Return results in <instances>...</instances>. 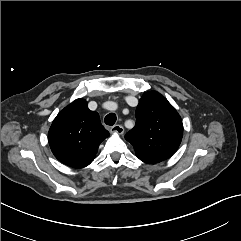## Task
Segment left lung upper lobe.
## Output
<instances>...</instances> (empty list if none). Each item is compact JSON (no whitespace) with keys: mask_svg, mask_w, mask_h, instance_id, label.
<instances>
[{"mask_svg":"<svg viewBox=\"0 0 241 241\" xmlns=\"http://www.w3.org/2000/svg\"><path fill=\"white\" fill-rule=\"evenodd\" d=\"M183 124L178 112L156 91L146 92L136 108V124L125 138L141 161L156 164L178 149Z\"/></svg>","mask_w":241,"mask_h":241,"instance_id":"left-lung-upper-lobe-1","label":"left lung upper lobe"}]
</instances>
